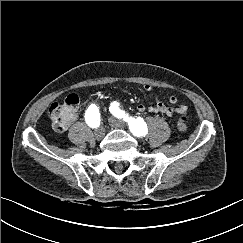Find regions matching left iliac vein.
I'll return each instance as SVG.
<instances>
[{
    "label": "left iliac vein",
    "instance_id": "1",
    "mask_svg": "<svg viewBox=\"0 0 243 243\" xmlns=\"http://www.w3.org/2000/svg\"><path fill=\"white\" fill-rule=\"evenodd\" d=\"M109 124L113 127V128H118V129H123L125 128V124L119 120L116 119L115 117L111 116L109 119Z\"/></svg>",
    "mask_w": 243,
    "mask_h": 243
}]
</instances>
